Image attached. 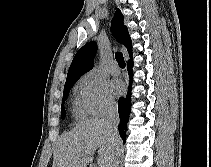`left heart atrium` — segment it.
I'll return each instance as SVG.
<instances>
[{"mask_svg":"<svg viewBox=\"0 0 211 167\" xmlns=\"http://www.w3.org/2000/svg\"><path fill=\"white\" fill-rule=\"evenodd\" d=\"M109 92L114 96H119L123 92V84L118 79H113L108 83Z\"/></svg>","mask_w":211,"mask_h":167,"instance_id":"39dd6f15","label":"left heart atrium"}]
</instances>
